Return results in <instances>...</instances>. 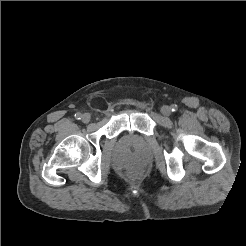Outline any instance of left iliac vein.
Wrapping results in <instances>:
<instances>
[{
    "label": "left iliac vein",
    "mask_w": 246,
    "mask_h": 246,
    "mask_svg": "<svg viewBox=\"0 0 246 246\" xmlns=\"http://www.w3.org/2000/svg\"><path fill=\"white\" fill-rule=\"evenodd\" d=\"M161 112L164 116H169L171 114V108L169 106H163Z\"/></svg>",
    "instance_id": "left-iliac-vein-1"
}]
</instances>
